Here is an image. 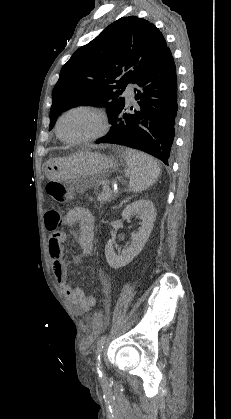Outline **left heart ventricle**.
Listing matches in <instances>:
<instances>
[{
  "mask_svg": "<svg viewBox=\"0 0 231 419\" xmlns=\"http://www.w3.org/2000/svg\"><path fill=\"white\" fill-rule=\"evenodd\" d=\"M99 127V120L94 114L75 111L62 119L60 133L68 139L83 138L97 132Z\"/></svg>",
  "mask_w": 231,
  "mask_h": 419,
  "instance_id": "b2bd125f",
  "label": "left heart ventricle"
}]
</instances>
